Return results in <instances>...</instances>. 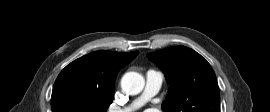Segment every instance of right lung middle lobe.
<instances>
[{
  "instance_id": "right-lung-middle-lobe-1",
  "label": "right lung middle lobe",
  "mask_w": 270,
  "mask_h": 112,
  "mask_svg": "<svg viewBox=\"0 0 270 112\" xmlns=\"http://www.w3.org/2000/svg\"><path fill=\"white\" fill-rule=\"evenodd\" d=\"M113 96L89 94L73 88H64L52 94V112H106Z\"/></svg>"
}]
</instances>
